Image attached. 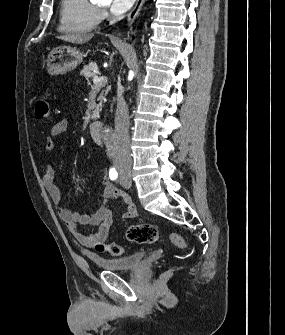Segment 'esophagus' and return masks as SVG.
Segmentation results:
<instances>
[{
    "label": "esophagus",
    "mask_w": 285,
    "mask_h": 335,
    "mask_svg": "<svg viewBox=\"0 0 285 335\" xmlns=\"http://www.w3.org/2000/svg\"><path fill=\"white\" fill-rule=\"evenodd\" d=\"M144 2H145V0H137V3L135 5V7L128 14L127 23H128L129 26H131L133 24L134 20L136 19L139 12L141 11Z\"/></svg>",
    "instance_id": "obj_1"
}]
</instances>
